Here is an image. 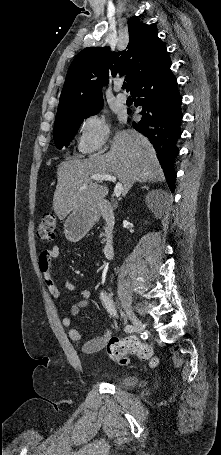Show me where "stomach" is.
<instances>
[{"label":"stomach","mask_w":221,"mask_h":455,"mask_svg":"<svg viewBox=\"0 0 221 455\" xmlns=\"http://www.w3.org/2000/svg\"><path fill=\"white\" fill-rule=\"evenodd\" d=\"M99 217V202L84 204L72 210L63 224L66 239L73 243L80 241L99 220Z\"/></svg>","instance_id":"obj_1"}]
</instances>
